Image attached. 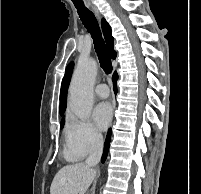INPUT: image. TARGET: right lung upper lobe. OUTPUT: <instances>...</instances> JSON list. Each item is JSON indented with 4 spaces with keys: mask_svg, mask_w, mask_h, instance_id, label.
I'll list each match as a JSON object with an SVG mask.
<instances>
[{
    "mask_svg": "<svg viewBox=\"0 0 201 194\" xmlns=\"http://www.w3.org/2000/svg\"><path fill=\"white\" fill-rule=\"evenodd\" d=\"M101 25H102L103 34L105 37V41H106L110 56L112 59H115L116 52L113 49L114 39L112 37L111 28L104 18L101 20ZM73 67H74V63L71 62L67 66L65 75L62 80L61 91H60V115H63L66 109L67 89L70 82Z\"/></svg>",
    "mask_w": 201,
    "mask_h": 194,
    "instance_id": "1",
    "label": "right lung upper lobe"
}]
</instances>
